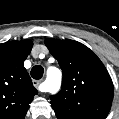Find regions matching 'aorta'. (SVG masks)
<instances>
[{"instance_id":"762f6f07","label":"aorta","mask_w":119,"mask_h":119,"mask_svg":"<svg viewBox=\"0 0 119 119\" xmlns=\"http://www.w3.org/2000/svg\"><path fill=\"white\" fill-rule=\"evenodd\" d=\"M46 85L50 93H56L61 85V72L55 67L47 70Z\"/></svg>"}]
</instances>
